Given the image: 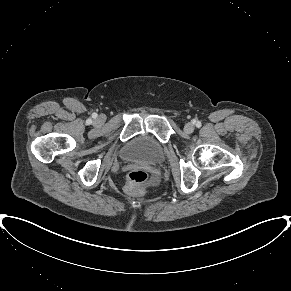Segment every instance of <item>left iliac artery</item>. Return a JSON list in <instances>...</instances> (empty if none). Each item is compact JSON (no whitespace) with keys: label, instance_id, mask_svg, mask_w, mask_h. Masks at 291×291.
Returning <instances> with one entry per match:
<instances>
[{"label":"left iliac artery","instance_id":"1","mask_svg":"<svg viewBox=\"0 0 291 291\" xmlns=\"http://www.w3.org/2000/svg\"><path fill=\"white\" fill-rule=\"evenodd\" d=\"M195 125H196V127H201V122L200 121H195Z\"/></svg>","mask_w":291,"mask_h":291}]
</instances>
